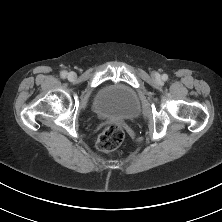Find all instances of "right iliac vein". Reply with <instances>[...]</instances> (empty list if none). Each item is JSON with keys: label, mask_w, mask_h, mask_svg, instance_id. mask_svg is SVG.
<instances>
[{"label": "right iliac vein", "mask_w": 222, "mask_h": 222, "mask_svg": "<svg viewBox=\"0 0 222 222\" xmlns=\"http://www.w3.org/2000/svg\"><path fill=\"white\" fill-rule=\"evenodd\" d=\"M76 77V74L74 72H70L68 74V79L73 80Z\"/></svg>", "instance_id": "right-iliac-vein-1"}]
</instances>
